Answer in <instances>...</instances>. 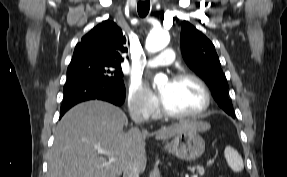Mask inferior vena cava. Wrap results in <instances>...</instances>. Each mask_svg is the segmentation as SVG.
<instances>
[{"label": "inferior vena cava", "mask_w": 287, "mask_h": 177, "mask_svg": "<svg viewBox=\"0 0 287 177\" xmlns=\"http://www.w3.org/2000/svg\"><path fill=\"white\" fill-rule=\"evenodd\" d=\"M131 118L136 124H141L143 122L142 118L140 117V114L137 111H134L131 113ZM142 134L144 136L147 135L146 130H142ZM123 177H139V169L134 161H130L123 172Z\"/></svg>", "instance_id": "obj_1"}]
</instances>
